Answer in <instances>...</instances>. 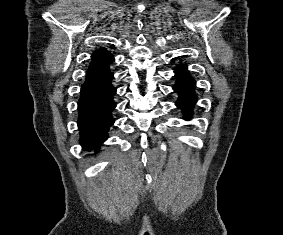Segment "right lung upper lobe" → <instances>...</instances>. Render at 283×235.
<instances>
[{
	"mask_svg": "<svg viewBox=\"0 0 283 235\" xmlns=\"http://www.w3.org/2000/svg\"><path fill=\"white\" fill-rule=\"evenodd\" d=\"M113 61V56L106 49L97 50L92 55V63L89 66L87 78L108 72V66Z\"/></svg>",
	"mask_w": 283,
	"mask_h": 235,
	"instance_id": "right-lung-upper-lobe-1",
	"label": "right lung upper lobe"
}]
</instances>
